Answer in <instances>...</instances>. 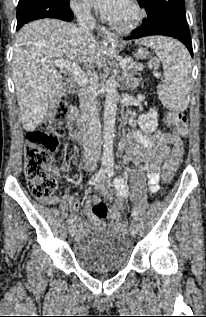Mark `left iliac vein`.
<instances>
[{"instance_id":"obj_1","label":"left iliac vein","mask_w":206,"mask_h":317,"mask_svg":"<svg viewBox=\"0 0 206 317\" xmlns=\"http://www.w3.org/2000/svg\"><path fill=\"white\" fill-rule=\"evenodd\" d=\"M131 236L135 237L138 234V224L133 221L130 227Z\"/></svg>"}]
</instances>
